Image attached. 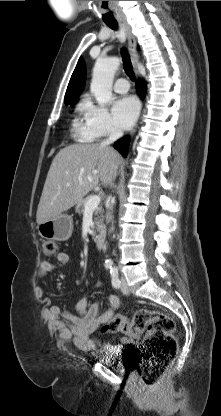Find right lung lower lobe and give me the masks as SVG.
<instances>
[{"label": "right lung lower lobe", "mask_w": 221, "mask_h": 416, "mask_svg": "<svg viewBox=\"0 0 221 416\" xmlns=\"http://www.w3.org/2000/svg\"><path fill=\"white\" fill-rule=\"evenodd\" d=\"M136 89H137V92L140 95V97L143 98L144 95H145V92H146V85H145V83L142 82V81H137V83H136ZM128 144H129V141H128L127 137H126V138H123V139L117 141L114 144V148L117 149L124 157H126L127 156V152H128Z\"/></svg>", "instance_id": "98d812e1"}]
</instances>
